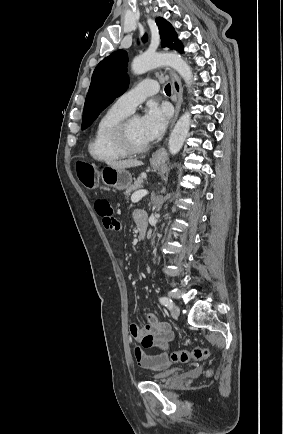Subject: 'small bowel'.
Here are the masks:
<instances>
[{"mask_svg":"<svg viewBox=\"0 0 283 434\" xmlns=\"http://www.w3.org/2000/svg\"><path fill=\"white\" fill-rule=\"evenodd\" d=\"M96 213L102 217L106 229L118 231L120 229L119 221L113 217V209L110 202L105 198H98L94 203ZM136 222L146 221L143 212L135 213ZM146 324L140 327L138 324L130 326L132 338L143 348L156 347L160 349L159 353L147 354L140 347L135 348V357L138 364L145 369L162 370L170 366L171 362L168 356L169 344L174 339V334L169 325L160 322L156 315L147 313L145 315Z\"/></svg>","mask_w":283,"mask_h":434,"instance_id":"1","label":"small bowel"}]
</instances>
